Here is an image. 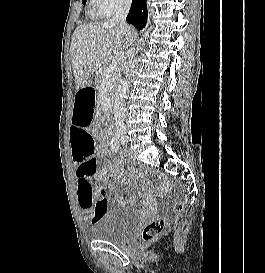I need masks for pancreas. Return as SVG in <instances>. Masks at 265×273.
<instances>
[{"label": "pancreas", "instance_id": "pancreas-1", "mask_svg": "<svg viewBox=\"0 0 265 273\" xmlns=\"http://www.w3.org/2000/svg\"><path fill=\"white\" fill-rule=\"evenodd\" d=\"M109 62L110 60L104 63L101 66V68L97 71L95 83L97 85V88H100L102 85H105L107 87L108 94L111 98L113 97L112 92L114 91V89L116 88L120 81V73L116 72L113 75L106 77L105 72L109 65Z\"/></svg>", "mask_w": 265, "mask_h": 273}]
</instances>
